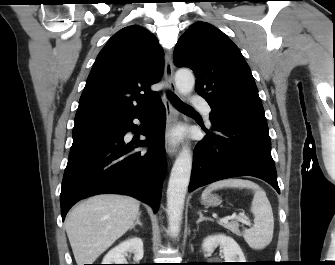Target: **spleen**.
Masks as SVG:
<instances>
[{
	"mask_svg": "<svg viewBox=\"0 0 335 265\" xmlns=\"http://www.w3.org/2000/svg\"><path fill=\"white\" fill-rule=\"evenodd\" d=\"M224 187L247 188L254 191L251 204V212L254 215V225L243 231V237L252 249H264L272 241L274 230L272 207L265 191L258 184L250 180L231 178L210 184L203 191L202 199H205L213 190Z\"/></svg>",
	"mask_w": 335,
	"mask_h": 265,
	"instance_id": "3e777b00",
	"label": "spleen"
}]
</instances>
